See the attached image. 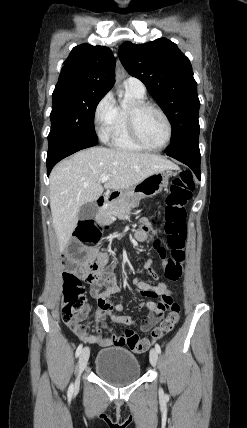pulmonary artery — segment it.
Wrapping results in <instances>:
<instances>
[{"label":"pulmonary artery","instance_id":"pulmonary-artery-1","mask_svg":"<svg viewBox=\"0 0 247 428\" xmlns=\"http://www.w3.org/2000/svg\"><path fill=\"white\" fill-rule=\"evenodd\" d=\"M124 86L126 89L134 90L140 94H145L146 92L144 83L136 77H128L124 81Z\"/></svg>","mask_w":247,"mask_h":428}]
</instances>
